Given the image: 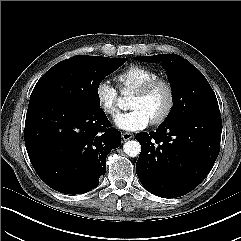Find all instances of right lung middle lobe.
<instances>
[{
	"instance_id": "right-lung-middle-lobe-1",
	"label": "right lung middle lobe",
	"mask_w": 241,
	"mask_h": 241,
	"mask_svg": "<svg viewBox=\"0 0 241 241\" xmlns=\"http://www.w3.org/2000/svg\"><path fill=\"white\" fill-rule=\"evenodd\" d=\"M126 60L81 55L61 61L39 79L32 91L29 106L59 101L84 111L98 110L100 82Z\"/></svg>"
}]
</instances>
